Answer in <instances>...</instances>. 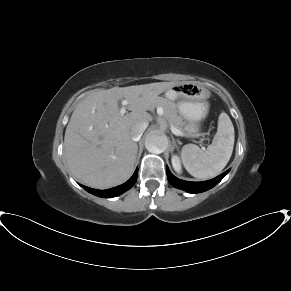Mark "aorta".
I'll return each mask as SVG.
<instances>
[{"label":"aorta","instance_id":"aorta-1","mask_svg":"<svg viewBox=\"0 0 291 291\" xmlns=\"http://www.w3.org/2000/svg\"><path fill=\"white\" fill-rule=\"evenodd\" d=\"M145 147L152 153H162L168 147L166 135L158 132H150L145 139Z\"/></svg>","mask_w":291,"mask_h":291}]
</instances>
